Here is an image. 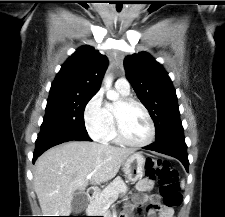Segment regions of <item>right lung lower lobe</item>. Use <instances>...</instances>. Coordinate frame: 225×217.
<instances>
[{
	"label": "right lung lower lobe",
	"instance_id": "98d812e1",
	"mask_svg": "<svg viewBox=\"0 0 225 217\" xmlns=\"http://www.w3.org/2000/svg\"><path fill=\"white\" fill-rule=\"evenodd\" d=\"M72 140L91 141L86 134L65 132L61 130H41L35 142L33 162L50 147Z\"/></svg>",
	"mask_w": 225,
	"mask_h": 217
}]
</instances>
